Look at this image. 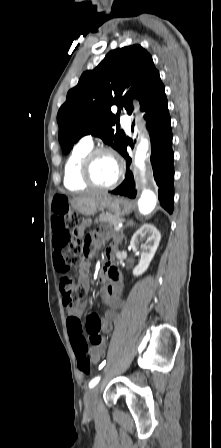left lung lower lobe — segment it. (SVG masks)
Here are the masks:
<instances>
[{"mask_svg": "<svg viewBox=\"0 0 221 448\" xmlns=\"http://www.w3.org/2000/svg\"><path fill=\"white\" fill-rule=\"evenodd\" d=\"M141 110L146 112L144 118L151 137L152 152L150 160L154 179L159 187V201L165 210L172 213L174 204V153L172 150L170 115L164 87L150 94L141 105ZM127 144L126 141L120 151L126 158V178L112 193L135 198L137 192L135 191L132 172L129 170L131 158L126 151Z\"/></svg>", "mask_w": 221, "mask_h": 448, "instance_id": "left-lung-lower-lobe-1", "label": "left lung lower lobe"}]
</instances>
